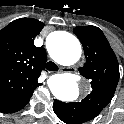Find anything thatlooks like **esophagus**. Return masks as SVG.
I'll return each mask as SVG.
<instances>
[{
	"mask_svg": "<svg viewBox=\"0 0 124 124\" xmlns=\"http://www.w3.org/2000/svg\"><path fill=\"white\" fill-rule=\"evenodd\" d=\"M75 71H76L75 67H61L60 68V72H63V73H66V72L72 73Z\"/></svg>",
	"mask_w": 124,
	"mask_h": 124,
	"instance_id": "1",
	"label": "esophagus"
}]
</instances>
